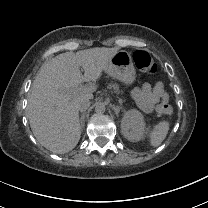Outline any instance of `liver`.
Returning <instances> with one entry per match:
<instances>
[{
    "instance_id": "obj_1",
    "label": "liver",
    "mask_w": 208,
    "mask_h": 208,
    "mask_svg": "<svg viewBox=\"0 0 208 208\" xmlns=\"http://www.w3.org/2000/svg\"><path fill=\"white\" fill-rule=\"evenodd\" d=\"M118 50L96 47L66 52L42 65L26 108L31 130L42 146L58 154L75 148L81 136L78 98H93L78 88L85 81L79 67H83L89 80H96Z\"/></svg>"
}]
</instances>
